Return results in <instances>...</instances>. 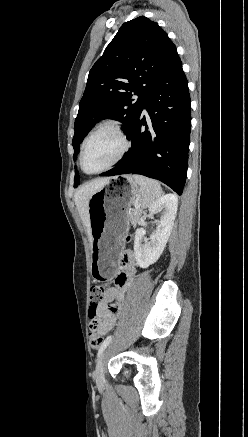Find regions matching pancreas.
Instances as JSON below:
<instances>
[{"mask_svg": "<svg viewBox=\"0 0 248 437\" xmlns=\"http://www.w3.org/2000/svg\"><path fill=\"white\" fill-rule=\"evenodd\" d=\"M140 216H141V210L139 208H132L128 212L129 221L133 226H135L138 223Z\"/></svg>", "mask_w": 248, "mask_h": 437, "instance_id": "1", "label": "pancreas"}]
</instances>
